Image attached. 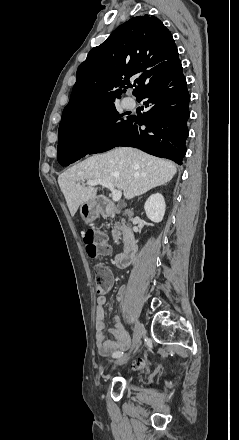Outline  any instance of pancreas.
<instances>
[{
  "label": "pancreas",
  "instance_id": "obj_1",
  "mask_svg": "<svg viewBox=\"0 0 239 440\" xmlns=\"http://www.w3.org/2000/svg\"><path fill=\"white\" fill-rule=\"evenodd\" d=\"M120 230H122V226H120L119 222H115V224L113 226V230H112L114 244H118V242L120 240V236H121Z\"/></svg>",
  "mask_w": 239,
  "mask_h": 440
}]
</instances>
